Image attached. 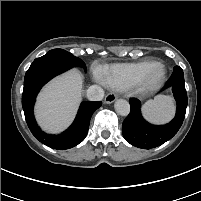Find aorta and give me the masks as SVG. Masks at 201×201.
<instances>
[{
	"label": "aorta",
	"mask_w": 201,
	"mask_h": 201,
	"mask_svg": "<svg viewBox=\"0 0 201 201\" xmlns=\"http://www.w3.org/2000/svg\"><path fill=\"white\" fill-rule=\"evenodd\" d=\"M115 111L121 116H127L130 113V104L124 99H118L114 104Z\"/></svg>",
	"instance_id": "762f6f07"
}]
</instances>
